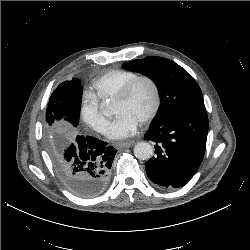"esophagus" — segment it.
<instances>
[{
  "label": "esophagus",
  "mask_w": 250,
  "mask_h": 250,
  "mask_svg": "<svg viewBox=\"0 0 250 250\" xmlns=\"http://www.w3.org/2000/svg\"><path fill=\"white\" fill-rule=\"evenodd\" d=\"M134 143H135L134 141H127V142L116 144V147L117 148H120V147H131Z\"/></svg>",
  "instance_id": "34e87169"
}]
</instances>
